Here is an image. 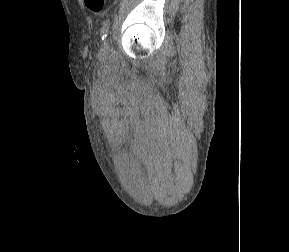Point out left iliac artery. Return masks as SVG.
<instances>
[{
  "label": "left iliac artery",
  "mask_w": 289,
  "mask_h": 252,
  "mask_svg": "<svg viewBox=\"0 0 289 252\" xmlns=\"http://www.w3.org/2000/svg\"><path fill=\"white\" fill-rule=\"evenodd\" d=\"M109 28H110V19L108 18L102 24V28H101V39L102 40L106 39L108 32H109Z\"/></svg>",
  "instance_id": "left-iliac-artery-1"
}]
</instances>
